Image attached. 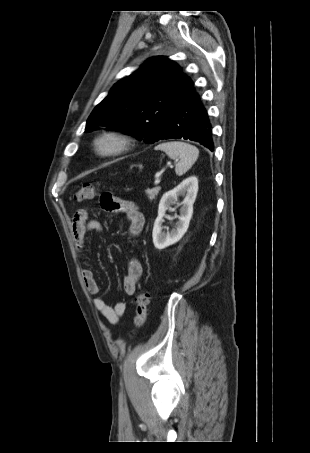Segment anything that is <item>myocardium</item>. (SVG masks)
I'll return each mask as SVG.
<instances>
[{
    "label": "myocardium",
    "mask_w": 310,
    "mask_h": 453,
    "mask_svg": "<svg viewBox=\"0 0 310 453\" xmlns=\"http://www.w3.org/2000/svg\"><path fill=\"white\" fill-rule=\"evenodd\" d=\"M132 145V138L118 128H110L102 131L92 142L93 151L100 157L120 155L129 151Z\"/></svg>",
    "instance_id": "obj_1"
}]
</instances>
